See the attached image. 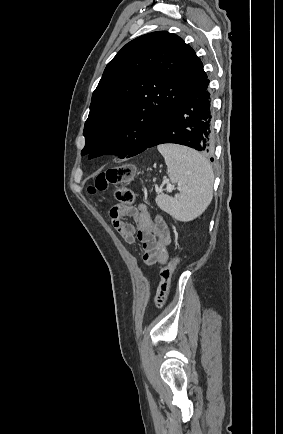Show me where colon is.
Returning <instances> with one entry per match:
<instances>
[{"label":"colon","mask_w":283,"mask_h":434,"mask_svg":"<svg viewBox=\"0 0 283 434\" xmlns=\"http://www.w3.org/2000/svg\"><path fill=\"white\" fill-rule=\"evenodd\" d=\"M135 175V167L132 164H125L110 168L100 173L92 186L89 187V192L104 191L109 187H114L115 199L126 206L133 205L135 201L134 192L128 187V184L133 180ZM178 256L170 259L166 266L160 271V282L155 296V304L157 307H162L168 297L172 275L178 264Z\"/></svg>","instance_id":"obj_1"}]
</instances>
